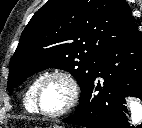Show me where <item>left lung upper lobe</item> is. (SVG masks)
Masks as SVG:
<instances>
[{"mask_svg":"<svg viewBox=\"0 0 142 128\" xmlns=\"http://www.w3.org/2000/svg\"><path fill=\"white\" fill-rule=\"evenodd\" d=\"M137 30L125 0H49L21 34L10 60L8 91L52 67L70 72L82 95L106 51Z\"/></svg>","mask_w":142,"mask_h":128,"instance_id":"obj_1","label":"left lung upper lobe"}]
</instances>
